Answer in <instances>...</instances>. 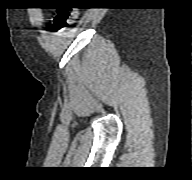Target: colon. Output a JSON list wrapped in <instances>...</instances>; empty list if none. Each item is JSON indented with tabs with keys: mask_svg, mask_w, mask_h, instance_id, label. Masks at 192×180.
<instances>
[{
	"mask_svg": "<svg viewBox=\"0 0 192 180\" xmlns=\"http://www.w3.org/2000/svg\"><path fill=\"white\" fill-rule=\"evenodd\" d=\"M78 16V11L75 8L59 9L54 17V26L57 29L67 27L74 23Z\"/></svg>",
	"mask_w": 192,
	"mask_h": 180,
	"instance_id": "colon-1",
	"label": "colon"
}]
</instances>
